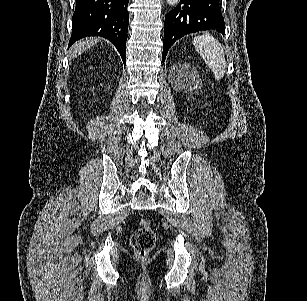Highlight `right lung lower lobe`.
I'll use <instances>...</instances> for the list:
<instances>
[{"label": "right lung lower lobe", "mask_w": 307, "mask_h": 301, "mask_svg": "<svg viewBox=\"0 0 307 301\" xmlns=\"http://www.w3.org/2000/svg\"><path fill=\"white\" fill-rule=\"evenodd\" d=\"M127 6L128 0H76L69 47L81 38L101 36L111 41L125 62Z\"/></svg>", "instance_id": "1"}]
</instances>
